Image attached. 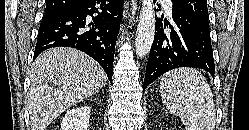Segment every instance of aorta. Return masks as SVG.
Wrapping results in <instances>:
<instances>
[{
    "instance_id": "762f6f07",
    "label": "aorta",
    "mask_w": 249,
    "mask_h": 130,
    "mask_svg": "<svg viewBox=\"0 0 249 130\" xmlns=\"http://www.w3.org/2000/svg\"><path fill=\"white\" fill-rule=\"evenodd\" d=\"M154 35V3L152 0H143L135 37V48L138 58L142 59L150 52Z\"/></svg>"
}]
</instances>
